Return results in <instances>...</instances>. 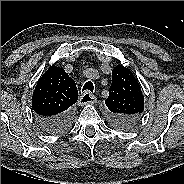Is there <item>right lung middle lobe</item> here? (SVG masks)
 <instances>
[{
    "label": "right lung middle lobe",
    "mask_w": 184,
    "mask_h": 184,
    "mask_svg": "<svg viewBox=\"0 0 184 184\" xmlns=\"http://www.w3.org/2000/svg\"><path fill=\"white\" fill-rule=\"evenodd\" d=\"M70 126H71V122L66 124L60 131L57 132V134L67 131L70 128Z\"/></svg>",
    "instance_id": "obj_1"
}]
</instances>
